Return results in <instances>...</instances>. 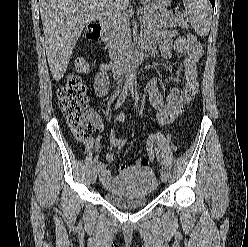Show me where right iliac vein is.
<instances>
[{
    "mask_svg": "<svg viewBox=\"0 0 248 247\" xmlns=\"http://www.w3.org/2000/svg\"><path fill=\"white\" fill-rule=\"evenodd\" d=\"M96 179H97V170L96 169H93L92 172H91V174H90L91 183L92 184H95Z\"/></svg>",
    "mask_w": 248,
    "mask_h": 247,
    "instance_id": "63e3f726",
    "label": "right iliac vein"
}]
</instances>
